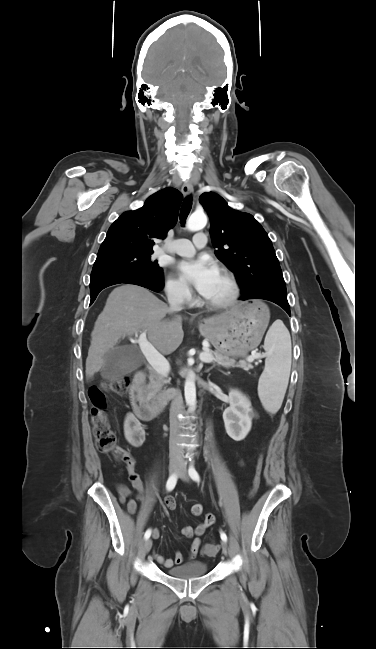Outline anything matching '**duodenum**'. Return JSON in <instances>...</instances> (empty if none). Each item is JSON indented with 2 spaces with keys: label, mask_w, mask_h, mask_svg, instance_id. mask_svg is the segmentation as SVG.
I'll use <instances>...</instances> for the list:
<instances>
[{
  "label": "duodenum",
  "mask_w": 376,
  "mask_h": 649,
  "mask_svg": "<svg viewBox=\"0 0 376 649\" xmlns=\"http://www.w3.org/2000/svg\"><path fill=\"white\" fill-rule=\"evenodd\" d=\"M145 381V372H136L129 390V397L135 415L141 419L149 420L157 416L169 401L177 399L180 396V392L163 393L154 401L147 402L143 394Z\"/></svg>",
  "instance_id": "410a0bca"
}]
</instances>
